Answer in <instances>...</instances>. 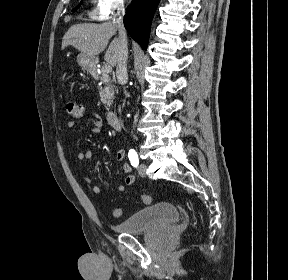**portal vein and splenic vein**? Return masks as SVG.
<instances>
[{"mask_svg": "<svg viewBox=\"0 0 288 280\" xmlns=\"http://www.w3.org/2000/svg\"><path fill=\"white\" fill-rule=\"evenodd\" d=\"M103 71H104L105 73H110V72L112 71L111 65H110L109 63L105 64V65L103 66Z\"/></svg>", "mask_w": 288, "mask_h": 280, "instance_id": "1", "label": "portal vein and splenic vein"}]
</instances>
